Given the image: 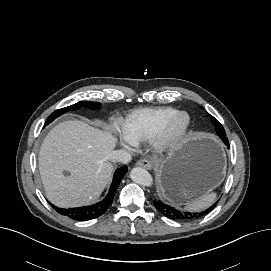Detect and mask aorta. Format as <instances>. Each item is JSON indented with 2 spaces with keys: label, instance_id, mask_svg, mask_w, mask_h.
I'll return each mask as SVG.
<instances>
[{
  "label": "aorta",
  "instance_id": "1",
  "mask_svg": "<svg viewBox=\"0 0 271 271\" xmlns=\"http://www.w3.org/2000/svg\"><path fill=\"white\" fill-rule=\"evenodd\" d=\"M130 178L137 184L142 186H151L153 178L151 174L142 167H135L130 172Z\"/></svg>",
  "mask_w": 271,
  "mask_h": 271
}]
</instances>
